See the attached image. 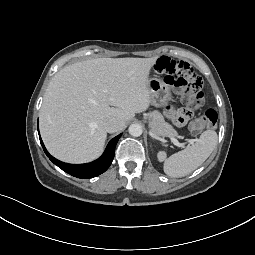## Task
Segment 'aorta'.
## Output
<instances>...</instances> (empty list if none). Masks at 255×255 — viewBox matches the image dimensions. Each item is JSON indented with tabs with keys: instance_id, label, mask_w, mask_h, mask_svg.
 Returning a JSON list of instances; mask_svg holds the SVG:
<instances>
[{
	"instance_id": "obj_1",
	"label": "aorta",
	"mask_w": 255,
	"mask_h": 255,
	"mask_svg": "<svg viewBox=\"0 0 255 255\" xmlns=\"http://www.w3.org/2000/svg\"><path fill=\"white\" fill-rule=\"evenodd\" d=\"M128 131L130 135L134 137H139L142 134L143 129L140 124L134 123L129 126Z\"/></svg>"
}]
</instances>
